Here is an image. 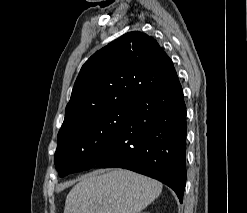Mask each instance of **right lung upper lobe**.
I'll return each instance as SVG.
<instances>
[{
  "mask_svg": "<svg viewBox=\"0 0 247 213\" xmlns=\"http://www.w3.org/2000/svg\"><path fill=\"white\" fill-rule=\"evenodd\" d=\"M175 74L172 60L151 36L124 34L82 66L58 136Z\"/></svg>",
  "mask_w": 247,
  "mask_h": 213,
  "instance_id": "obj_1",
  "label": "right lung upper lobe"
}]
</instances>
